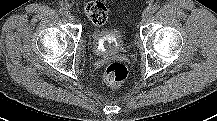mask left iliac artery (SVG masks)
Segmentation results:
<instances>
[{
  "label": "left iliac artery",
  "instance_id": "44dca946",
  "mask_svg": "<svg viewBox=\"0 0 217 121\" xmlns=\"http://www.w3.org/2000/svg\"><path fill=\"white\" fill-rule=\"evenodd\" d=\"M157 9H158L157 5H152L148 8L150 13H155L157 11Z\"/></svg>",
  "mask_w": 217,
  "mask_h": 121
}]
</instances>
